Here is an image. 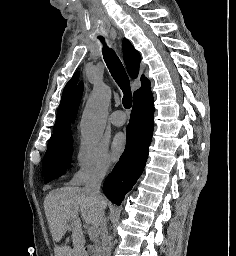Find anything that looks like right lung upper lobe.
Instances as JSON below:
<instances>
[{"label": "right lung upper lobe", "mask_w": 236, "mask_h": 256, "mask_svg": "<svg viewBox=\"0 0 236 256\" xmlns=\"http://www.w3.org/2000/svg\"><path fill=\"white\" fill-rule=\"evenodd\" d=\"M123 56L130 77L137 78L139 73L140 54L134 49L133 45L127 39H123ZM78 78L79 72H76L64 88L60 107L57 112L56 122L53 128V134L49 142L62 139L71 134L69 124V107ZM141 83L142 87L134 92L133 100L150 86L149 81L144 76L141 77Z\"/></svg>", "instance_id": "cb5924a9"}]
</instances>
